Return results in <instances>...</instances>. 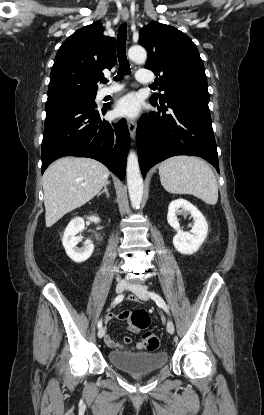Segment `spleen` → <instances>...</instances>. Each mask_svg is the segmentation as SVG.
Wrapping results in <instances>:
<instances>
[{"label":"spleen","mask_w":264,"mask_h":415,"mask_svg":"<svg viewBox=\"0 0 264 415\" xmlns=\"http://www.w3.org/2000/svg\"><path fill=\"white\" fill-rule=\"evenodd\" d=\"M159 175L172 194H190L210 205L218 200V186L209 165L198 157L175 156L161 162Z\"/></svg>","instance_id":"3e777b00"}]
</instances>
